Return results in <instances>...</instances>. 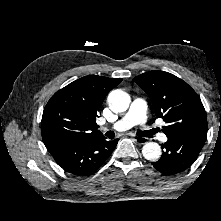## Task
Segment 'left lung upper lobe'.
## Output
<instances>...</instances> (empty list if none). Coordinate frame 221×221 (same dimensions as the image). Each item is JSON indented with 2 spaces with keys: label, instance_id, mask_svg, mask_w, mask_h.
Returning <instances> with one entry per match:
<instances>
[{
  "label": "left lung upper lobe",
  "instance_id": "obj_1",
  "mask_svg": "<svg viewBox=\"0 0 221 221\" xmlns=\"http://www.w3.org/2000/svg\"><path fill=\"white\" fill-rule=\"evenodd\" d=\"M150 97L157 118L166 122L163 132L168 138L207 134L204 106L195 91L175 75L153 70L134 78Z\"/></svg>",
  "mask_w": 221,
  "mask_h": 221
}]
</instances>
